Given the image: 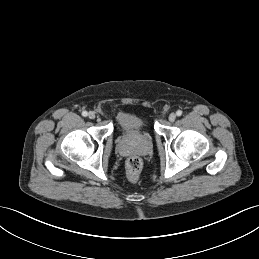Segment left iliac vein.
Here are the masks:
<instances>
[{
	"mask_svg": "<svg viewBox=\"0 0 259 259\" xmlns=\"http://www.w3.org/2000/svg\"><path fill=\"white\" fill-rule=\"evenodd\" d=\"M168 119H169L170 122H174L175 119H176V114H175V113H171V114L169 115Z\"/></svg>",
	"mask_w": 259,
	"mask_h": 259,
	"instance_id": "obj_1",
	"label": "left iliac vein"
}]
</instances>
